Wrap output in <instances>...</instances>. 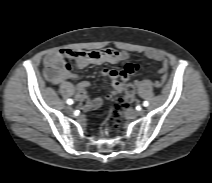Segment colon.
I'll return each mask as SVG.
<instances>
[{
	"label": "colon",
	"mask_w": 212,
	"mask_h": 183,
	"mask_svg": "<svg viewBox=\"0 0 212 183\" xmlns=\"http://www.w3.org/2000/svg\"><path fill=\"white\" fill-rule=\"evenodd\" d=\"M134 98V86L127 84L125 86V95L121 98L117 104L114 105L111 113L112 127H115L122 115L124 108L133 101Z\"/></svg>",
	"instance_id": "obj_1"
}]
</instances>
